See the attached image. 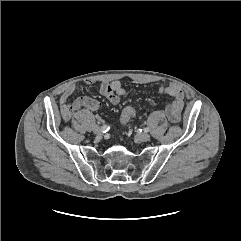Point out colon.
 Returning <instances> with one entry per match:
<instances>
[{
  "label": "colon",
  "instance_id": "obj_1",
  "mask_svg": "<svg viewBox=\"0 0 241 241\" xmlns=\"http://www.w3.org/2000/svg\"><path fill=\"white\" fill-rule=\"evenodd\" d=\"M136 115V110L132 106H127L123 109L121 114V121L123 124H127Z\"/></svg>",
  "mask_w": 241,
  "mask_h": 241
}]
</instances>
